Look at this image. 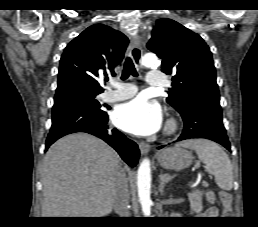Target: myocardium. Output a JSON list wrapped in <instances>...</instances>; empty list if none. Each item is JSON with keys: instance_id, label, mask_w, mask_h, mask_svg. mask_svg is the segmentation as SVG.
I'll return each instance as SVG.
<instances>
[{"instance_id": "1", "label": "myocardium", "mask_w": 258, "mask_h": 227, "mask_svg": "<svg viewBox=\"0 0 258 227\" xmlns=\"http://www.w3.org/2000/svg\"><path fill=\"white\" fill-rule=\"evenodd\" d=\"M178 128V124L174 119H170L165 127V133L168 135L173 134Z\"/></svg>"}]
</instances>
